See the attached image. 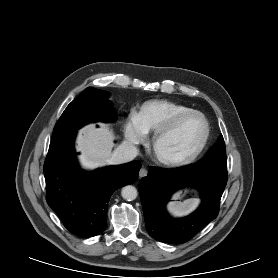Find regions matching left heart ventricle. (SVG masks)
Masks as SVG:
<instances>
[{"mask_svg":"<svg viewBox=\"0 0 278 278\" xmlns=\"http://www.w3.org/2000/svg\"><path fill=\"white\" fill-rule=\"evenodd\" d=\"M204 131L203 120L199 116H190L160 144V150L168 156L186 155L198 146Z\"/></svg>","mask_w":278,"mask_h":278,"instance_id":"1","label":"left heart ventricle"}]
</instances>
